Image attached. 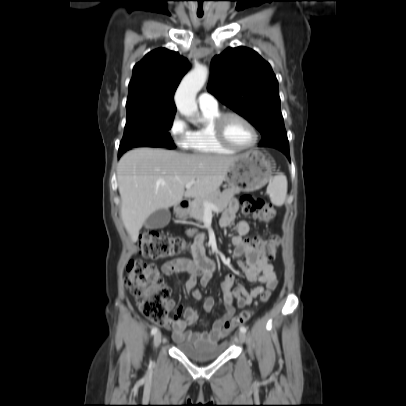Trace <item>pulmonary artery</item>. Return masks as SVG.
Returning <instances> with one entry per match:
<instances>
[{"instance_id": "e3ab8cb5", "label": "pulmonary artery", "mask_w": 406, "mask_h": 406, "mask_svg": "<svg viewBox=\"0 0 406 406\" xmlns=\"http://www.w3.org/2000/svg\"><path fill=\"white\" fill-rule=\"evenodd\" d=\"M198 104L201 109H215L218 107L217 99L207 91L200 93Z\"/></svg>"}]
</instances>
